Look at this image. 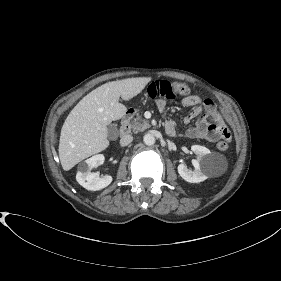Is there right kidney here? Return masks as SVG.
<instances>
[{
    "label": "right kidney",
    "mask_w": 281,
    "mask_h": 281,
    "mask_svg": "<svg viewBox=\"0 0 281 281\" xmlns=\"http://www.w3.org/2000/svg\"><path fill=\"white\" fill-rule=\"evenodd\" d=\"M105 157L102 154L94 155L80 163L76 174L77 182L87 190L97 191L107 187L112 182V176L100 177L98 173L91 170L104 163Z\"/></svg>",
    "instance_id": "obj_1"
}]
</instances>
